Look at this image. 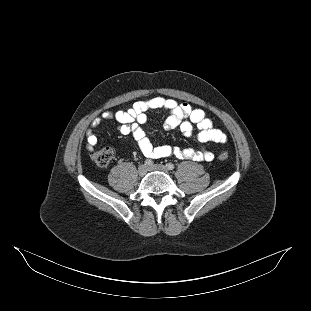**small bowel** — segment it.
Listing matches in <instances>:
<instances>
[{"label":"small bowel","mask_w":311,"mask_h":311,"mask_svg":"<svg viewBox=\"0 0 311 311\" xmlns=\"http://www.w3.org/2000/svg\"><path fill=\"white\" fill-rule=\"evenodd\" d=\"M158 109L169 112L164 123L167 130L179 128L185 136H190L194 127H197L198 140L203 144L224 143L227 140L226 134L213 127L212 121L202 109H194L187 103H178L173 99L154 97L137 101L127 110L104 112L94 118L86 130L87 148L92 150L98 142L95 129L105 121L114 120L118 123V131L124 135L131 134L142 154L150 160L171 156L194 161L213 160L214 154L207 149L197 151L169 145L154 146L141 125L147 121L148 112Z\"/></svg>","instance_id":"obj_1"}]
</instances>
